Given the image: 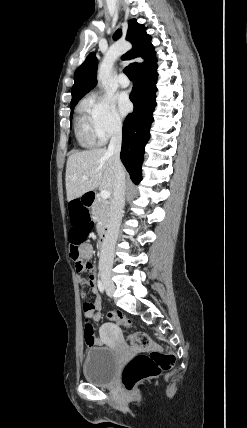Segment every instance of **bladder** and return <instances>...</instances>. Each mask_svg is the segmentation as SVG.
Instances as JSON below:
<instances>
[{"instance_id":"obj_1","label":"bladder","mask_w":247,"mask_h":428,"mask_svg":"<svg viewBox=\"0 0 247 428\" xmlns=\"http://www.w3.org/2000/svg\"><path fill=\"white\" fill-rule=\"evenodd\" d=\"M119 367V355L110 347H93L86 351L83 362L84 378L95 385L111 384Z\"/></svg>"}]
</instances>
